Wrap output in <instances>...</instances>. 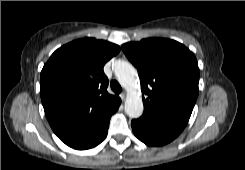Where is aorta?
<instances>
[{
    "label": "aorta",
    "mask_w": 245,
    "mask_h": 170,
    "mask_svg": "<svg viewBox=\"0 0 245 170\" xmlns=\"http://www.w3.org/2000/svg\"><path fill=\"white\" fill-rule=\"evenodd\" d=\"M115 76L122 87L127 91L125 112L130 118H139L144 110L141 95L138 92V75L132 64L126 61H117L114 64Z\"/></svg>",
    "instance_id": "1"
}]
</instances>
